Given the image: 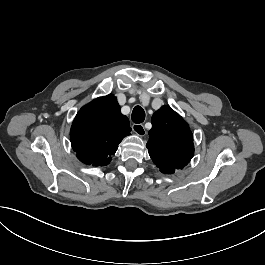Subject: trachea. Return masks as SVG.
<instances>
[{
    "mask_svg": "<svg viewBox=\"0 0 265 265\" xmlns=\"http://www.w3.org/2000/svg\"><path fill=\"white\" fill-rule=\"evenodd\" d=\"M145 120V112L142 107L136 106L132 111V121L136 124L142 123Z\"/></svg>",
    "mask_w": 265,
    "mask_h": 265,
    "instance_id": "obj_1",
    "label": "trachea"
}]
</instances>
